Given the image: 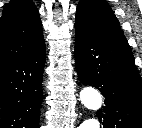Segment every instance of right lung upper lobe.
I'll return each instance as SVG.
<instances>
[{"label":"right lung upper lobe","mask_w":142,"mask_h":128,"mask_svg":"<svg viewBox=\"0 0 142 128\" xmlns=\"http://www.w3.org/2000/svg\"><path fill=\"white\" fill-rule=\"evenodd\" d=\"M44 42L39 12L32 0H12L0 19V68L30 54Z\"/></svg>","instance_id":"1"}]
</instances>
